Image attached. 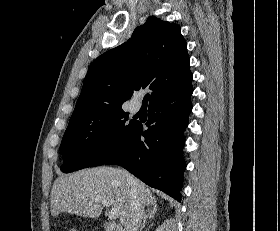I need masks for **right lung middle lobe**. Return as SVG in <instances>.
Returning <instances> with one entry per match:
<instances>
[{"label":"right lung middle lobe","instance_id":"dd1d6c3e","mask_svg":"<svg viewBox=\"0 0 280 231\" xmlns=\"http://www.w3.org/2000/svg\"><path fill=\"white\" fill-rule=\"evenodd\" d=\"M128 113H118L90 120L69 121L61 143L65 173L103 165L114 156L122 140L134 127L127 123Z\"/></svg>","mask_w":280,"mask_h":231}]
</instances>
